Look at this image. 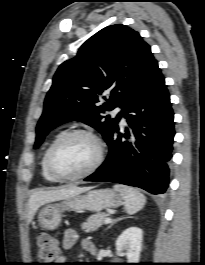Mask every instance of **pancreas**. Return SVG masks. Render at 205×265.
I'll return each instance as SVG.
<instances>
[{"label":"pancreas","instance_id":"1","mask_svg":"<svg viewBox=\"0 0 205 265\" xmlns=\"http://www.w3.org/2000/svg\"><path fill=\"white\" fill-rule=\"evenodd\" d=\"M107 218L105 213H97L91 215L86 222H83L81 228L84 232L89 233L96 231L99 227L102 226L104 220Z\"/></svg>","mask_w":205,"mask_h":265}]
</instances>
